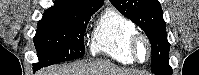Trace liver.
<instances>
[{"mask_svg":"<svg viewBox=\"0 0 199 75\" xmlns=\"http://www.w3.org/2000/svg\"><path fill=\"white\" fill-rule=\"evenodd\" d=\"M36 75H137L136 71L125 70L106 61L77 62L60 68H49Z\"/></svg>","mask_w":199,"mask_h":75,"instance_id":"obj_1","label":"liver"}]
</instances>
